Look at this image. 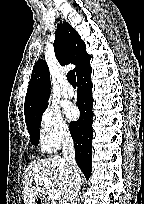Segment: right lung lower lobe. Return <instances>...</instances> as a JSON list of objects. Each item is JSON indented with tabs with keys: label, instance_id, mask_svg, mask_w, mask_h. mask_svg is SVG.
Returning <instances> with one entry per match:
<instances>
[{
	"label": "right lung lower lobe",
	"instance_id": "right-lung-lower-lobe-1",
	"mask_svg": "<svg viewBox=\"0 0 144 204\" xmlns=\"http://www.w3.org/2000/svg\"><path fill=\"white\" fill-rule=\"evenodd\" d=\"M92 69L89 67L77 76V106L80 117L70 124V131L75 146V158L79 168L88 180L92 171V83L90 79Z\"/></svg>",
	"mask_w": 144,
	"mask_h": 204
}]
</instances>
